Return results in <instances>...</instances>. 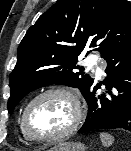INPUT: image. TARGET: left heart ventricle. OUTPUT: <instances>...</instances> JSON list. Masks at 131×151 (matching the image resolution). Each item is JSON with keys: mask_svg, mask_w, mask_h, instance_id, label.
Returning a JSON list of instances; mask_svg holds the SVG:
<instances>
[{"mask_svg": "<svg viewBox=\"0 0 131 151\" xmlns=\"http://www.w3.org/2000/svg\"><path fill=\"white\" fill-rule=\"evenodd\" d=\"M72 120L70 102L59 95H50L37 101L30 109L27 125L38 137H48L63 131Z\"/></svg>", "mask_w": 131, "mask_h": 151, "instance_id": "obj_1", "label": "left heart ventricle"}]
</instances>
